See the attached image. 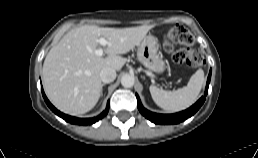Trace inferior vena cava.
Here are the masks:
<instances>
[{
	"instance_id": "inferior-vena-cava-1",
	"label": "inferior vena cava",
	"mask_w": 258,
	"mask_h": 158,
	"mask_svg": "<svg viewBox=\"0 0 258 158\" xmlns=\"http://www.w3.org/2000/svg\"><path fill=\"white\" fill-rule=\"evenodd\" d=\"M100 79L104 83L113 82L116 78V71L113 68L105 67L100 71Z\"/></svg>"
}]
</instances>
